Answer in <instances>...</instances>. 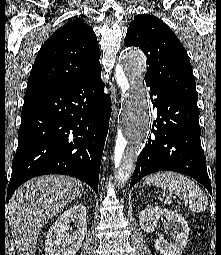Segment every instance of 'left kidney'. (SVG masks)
<instances>
[{
    "mask_svg": "<svg viewBox=\"0 0 221 255\" xmlns=\"http://www.w3.org/2000/svg\"><path fill=\"white\" fill-rule=\"evenodd\" d=\"M157 220L164 221V229L172 241L167 242L163 234H158L155 249L162 255H181L190 231L187 221L178 213L158 206L148 207L139 214L140 226L147 233L155 231Z\"/></svg>",
    "mask_w": 221,
    "mask_h": 255,
    "instance_id": "1",
    "label": "left kidney"
}]
</instances>
